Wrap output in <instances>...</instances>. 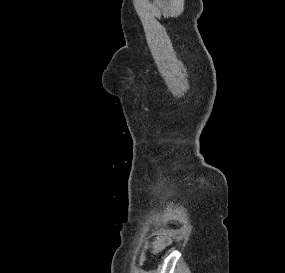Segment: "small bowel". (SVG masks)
<instances>
[{"mask_svg":"<svg viewBox=\"0 0 285 273\" xmlns=\"http://www.w3.org/2000/svg\"><path fill=\"white\" fill-rule=\"evenodd\" d=\"M167 244H169V239L167 238H162L157 242L159 248L165 247Z\"/></svg>","mask_w":285,"mask_h":273,"instance_id":"c3829d8e","label":"small bowel"}]
</instances>
